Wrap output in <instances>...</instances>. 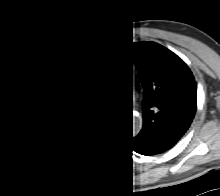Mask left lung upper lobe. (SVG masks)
Returning a JSON list of instances; mask_svg holds the SVG:
<instances>
[{
    "mask_svg": "<svg viewBox=\"0 0 220 196\" xmlns=\"http://www.w3.org/2000/svg\"><path fill=\"white\" fill-rule=\"evenodd\" d=\"M142 84L144 126L140 134L168 149L189 128L196 111V84L187 65L151 42L128 46Z\"/></svg>",
    "mask_w": 220,
    "mask_h": 196,
    "instance_id": "1",
    "label": "left lung upper lobe"
}]
</instances>
